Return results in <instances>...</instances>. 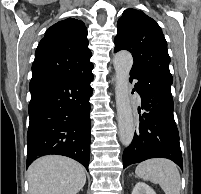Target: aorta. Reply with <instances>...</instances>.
<instances>
[{
    "label": "aorta",
    "instance_id": "762f6f07",
    "mask_svg": "<svg viewBox=\"0 0 201 194\" xmlns=\"http://www.w3.org/2000/svg\"><path fill=\"white\" fill-rule=\"evenodd\" d=\"M133 57L128 51H120L114 56L116 80V107L121 143L127 147L134 137V120L129 95V76Z\"/></svg>",
    "mask_w": 201,
    "mask_h": 194
}]
</instances>
